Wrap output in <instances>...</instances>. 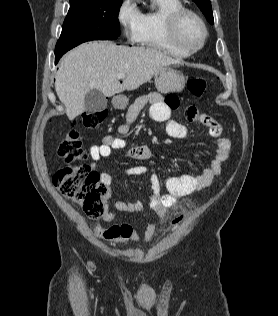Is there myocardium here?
Returning <instances> with one entry per match:
<instances>
[{
	"label": "myocardium",
	"instance_id": "obj_1",
	"mask_svg": "<svg viewBox=\"0 0 278 316\" xmlns=\"http://www.w3.org/2000/svg\"><path fill=\"white\" fill-rule=\"evenodd\" d=\"M188 18L195 20L202 29L201 41L196 45L190 44L184 35V23ZM169 29L175 42L189 53H194L200 50L205 45L208 38V29L203 18L195 11L185 7L178 9L170 15Z\"/></svg>",
	"mask_w": 278,
	"mask_h": 316
}]
</instances>
